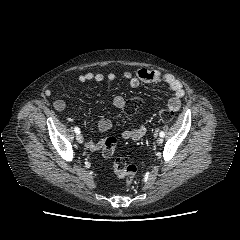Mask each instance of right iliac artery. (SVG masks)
I'll use <instances>...</instances> for the list:
<instances>
[{"label": "right iliac artery", "mask_w": 240, "mask_h": 240, "mask_svg": "<svg viewBox=\"0 0 240 240\" xmlns=\"http://www.w3.org/2000/svg\"><path fill=\"white\" fill-rule=\"evenodd\" d=\"M74 131H75V133H77V134L80 133V129H79L78 127H75V128H74Z\"/></svg>", "instance_id": "1"}]
</instances>
